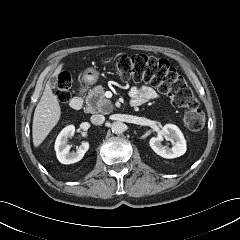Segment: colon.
Here are the masks:
<instances>
[{
  "label": "colon",
  "instance_id": "obj_1",
  "mask_svg": "<svg viewBox=\"0 0 240 240\" xmlns=\"http://www.w3.org/2000/svg\"><path fill=\"white\" fill-rule=\"evenodd\" d=\"M116 68L124 80L148 83L167 95L175 106L184 108L183 119L190 130L203 128L205 117L192 89L166 60L144 54L124 56L118 59ZM70 88V75L61 73L56 91L60 103L65 104L70 100Z\"/></svg>",
  "mask_w": 240,
  "mask_h": 240
}]
</instances>
